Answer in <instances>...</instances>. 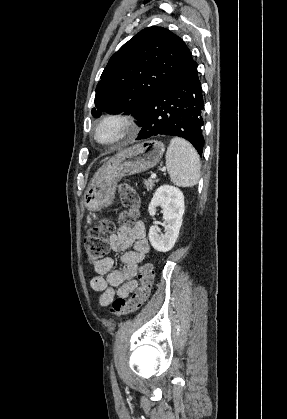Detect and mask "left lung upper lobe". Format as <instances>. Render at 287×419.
Instances as JSON below:
<instances>
[{"label":"left lung upper lobe","mask_w":287,"mask_h":419,"mask_svg":"<svg viewBox=\"0 0 287 419\" xmlns=\"http://www.w3.org/2000/svg\"><path fill=\"white\" fill-rule=\"evenodd\" d=\"M194 62L177 35L145 28L110 58L97 84L92 115L131 114L140 124L150 99Z\"/></svg>","instance_id":"5c2ea615"}]
</instances>
